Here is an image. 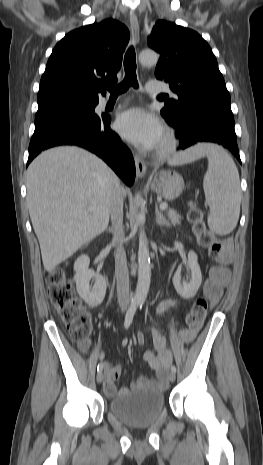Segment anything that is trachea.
<instances>
[{
  "label": "trachea",
  "mask_w": 263,
  "mask_h": 465,
  "mask_svg": "<svg viewBox=\"0 0 263 465\" xmlns=\"http://www.w3.org/2000/svg\"><path fill=\"white\" fill-rule=\"evenodd\" d=\"M125 78L118 85H105V88L111 93V96H118L126 92L130 86L138 88L136 75V54L133 46H130L124 57ZM164 96V95H160Z\"/></svg>",
  "instance_id": "1"
}]
</instances>
